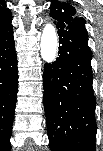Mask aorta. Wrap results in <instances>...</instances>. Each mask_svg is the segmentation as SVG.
I'll return each mask as SVG.
<instances>
[{
	"label": "aorta",
	"mask_w": 103,
	"mask_h": 151,
	"mask_svg": "<svg viewBox=\"0 0 103 151\" xmlns=\"http://www.w3.org/2000/svg\"><path fill=\"white\" fill-rule=\"evenodd\" d=\"M40 53L42 59L47 63L54 62L58 50V36L54 25L47 24L40 40Z\"/></svg>",
	"instance_id": "762f6f07"
}]
</instances>
